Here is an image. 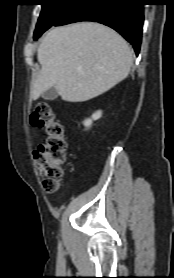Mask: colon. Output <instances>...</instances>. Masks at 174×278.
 Segmentation results:
<instances>
[{
	"mask_svg": "<svg viewBox=\"0 0 174 278\" xmlns=\"http://www.w3.org/2000/svg\"><path fill=\"white\" fill-rule=\"evenodd\" d=\"M30 123L44 132V139L34 151V160L43 177V187L53 193L59 188L63 174L62 166L66 162L67 141L64 127L56 118L51 106L45 102L35 105L30 115Z\"/></svg>",
	"mask_w": 174,
	"mask_h": 278,
	"instance_id": "5ec220e1",
	"label": "colon"
}]
</instances>
